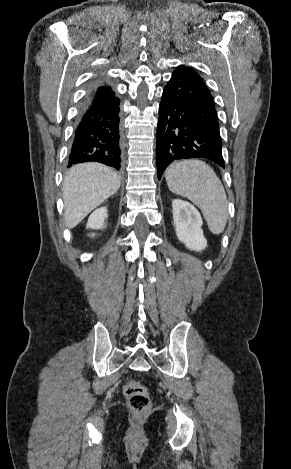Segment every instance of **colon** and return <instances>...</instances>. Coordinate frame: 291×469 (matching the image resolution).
I'll return each mask as SVG.
<instances>
[{"label": "colon", "instance_id": "obj_1", "mask_svg": "<svg viewBox=\"0 0 291 469\" xmlns=\"http://www.w3.org/2000/svg\"><path fill=\"white\" fill-rule=\"evenodd\" d=\"M124 395L129 408L135 413H144L151 406L147 388L141 383L130 380L124 385Z\"/></svg>", "mask_w": 291, "mask_h": 469}]
</instances>
